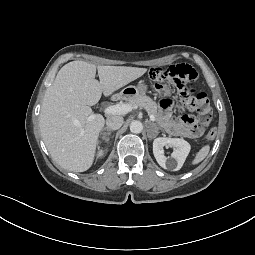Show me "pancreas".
Returning a JSON list of instances; mask_svg holds the SVG:
<instances>
[{
  "mask_svg": "<svg viewBox=\"0 0 255 255\" xmlns=\"http://www.w3.org/2000/svg\"><path fill=\"white\" fill-rule=\"evenodd\" d=\"M128 104L134 107L144 108L149 115L152 114L155 116V118L159 117L156 102H154L150 97L146 95L130 98L128 99Z\"/></svg>",
  "mask_w": 255,
  "mask_h": 255,
  "instance_id": "1",
  "label": "pancreas"
}]
</instances>
